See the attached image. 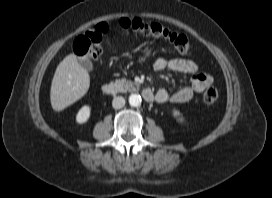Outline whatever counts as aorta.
Segmentation results:
<instances>
[{
	"label": "aorta",
	"instance_id": "aorta-1",
	"mask_svg": "<svg viewBox=\"0 0 272 198\" xmlns=\"http://www.w3.org/2000/svg\"><path fill=\"white\" fill-rule=\"evenodd\" d=\"M141 96L138 94H131L129 96V104L133 107H137L141 104Z\"/></svg>",
	"mask_w": 272,
	"mask_h": 198
}]
</instances>
